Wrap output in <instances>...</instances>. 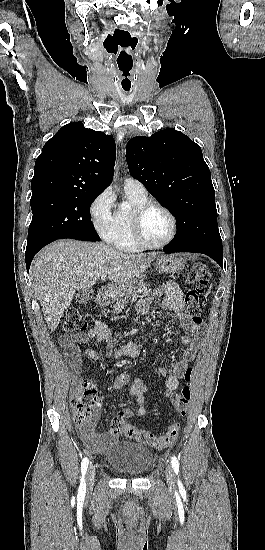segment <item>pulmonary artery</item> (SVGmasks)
Returning <instances> with one entry per match:
<instances>
[{"label":"pulmonary artery","instance_id":"obj_1","mask_svg":"<svg viewBox=\"0 0 265 550\" xmlns=\"http://www.w3.org/2000/svg\"><path fill=\"white\" fill-rule=\"evenodd\" d=\"M124 189L141 195H147V191L144 185L140 181L133 178H127L125 180Z\"/></svg>","mask_w":265,"mask_h":550}]
</instances>
